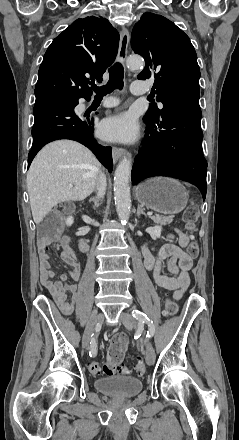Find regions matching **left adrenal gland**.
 Segmentation results:
<instances>
[{"instance_id":"left-adrenal-gland-1","label":"left adrenal gland","mask_w":239,"mask_h":440,"mask_svg":"<svg viewBox=\"0 0 239 440\" xmlns=\"http://www.w3.org/2000/svg\"><path fill=\"white\" fill-rule=\"evenodd\" d=\"M141 214H143V216H146V214H145V212H143L142 208H139V206H138L137 216H141Z\"/></svg>"}]
</instances>
